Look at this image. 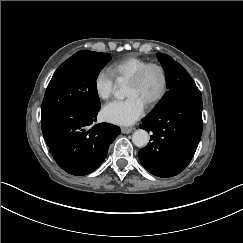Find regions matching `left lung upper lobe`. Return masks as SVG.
<instances>
[{
  "label": "left lung upper lobe",
  "mask_w": 243,
  "mask_h": 243,
  "mask_svg": "<svg viewBox=\"0 0 243 243\" xmlns=\"http://www.w3.org/2000/svg\"><path fill=\"white\" fill-rule=\"evenodd\" d=\"M157 56L165 70L169 90L149 115L155 114L176 97L183 95L201 96L195 82L183 66L166 54L157 53Z\"/></svg>",
  "instance_id": "left-lung-upper-lobe-1"
}]
</instances>
